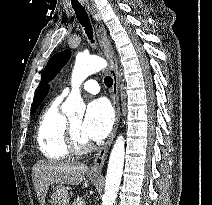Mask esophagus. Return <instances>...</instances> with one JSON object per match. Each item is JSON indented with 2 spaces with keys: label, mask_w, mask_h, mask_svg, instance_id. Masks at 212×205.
I'll list each match as a JSON object with an SVG mask.
<instances>
[{
  "label": "esophagus",
  "mask_w": 212,
  "mask_h": 205,
  "mask_svg": "<svg viewBox=\"0 0 212 205\" xmlns=\"http://www.w3.org/2000/svg\"><path fill=\"white\" fill-rule=\"evenodd\" d=\"M88 9L91 12V15L94 19V26H95L96 34L99 39L102 50L104 52V55L106 56L107 60L109 61L110 74L113 79L112 103H113V107L115 109V114H116L114 126L110 133V136L108 137V139L104 143V145L97 152L94 162H93V165L90 168L91 174L98 175L101 173V171L103 169L107 153L109 151V148H110L112 141L115 137V134L117 132L121 112H120V104H119V80H118V71H117V60L114 56V51L109 42L107 32H106V29L102 22L101 16L90 5H88Z\"/></svg>",
  "instance_id": "obj_1"
}]
</instances>
